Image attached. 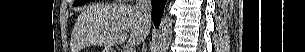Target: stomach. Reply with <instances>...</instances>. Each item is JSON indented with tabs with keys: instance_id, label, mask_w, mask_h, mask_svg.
Here are the masks:
<instances>
[{
	"instance_id": "obj_1",
	"label": "stomach",
	"mask_w": 305,
	"mask_h": 52,
	"mask_svg": "<svg viewBox=\"0 0 305 52\" xmlns=\"http://www.w3.org/2000/svg\"><path fill=\"white\" fill-rule=\"evenodd\" d=\"M102 52H113V51H110V50H106V51H102Z\"/></svg>"
}]
</instances>
